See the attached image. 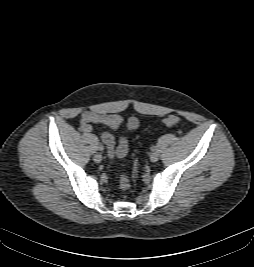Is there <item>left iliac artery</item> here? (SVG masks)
<instances>
[{"mask_svg": "<svg viewBox=\"0 0 254 267\" xmlns=\"http://www.w3.org/2000/svg\"><path fill=\"white\" fill-rule=\"evenodd\" d=\"M156 149H157L156 146H152V147H151V150H152V151H155Z\"/></svg>", "mask_w": 254, "mask_h": 267, "instance_id": "44dca946", "label": "left iliac artery"}]
</instances>
